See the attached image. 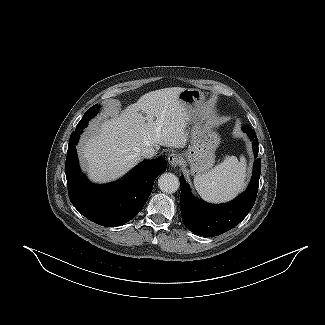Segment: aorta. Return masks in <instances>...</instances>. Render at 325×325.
Instances as JSON below:
<instances>
[{
  "label": "aorta",
  "instance_id": "aorta-1",
  "mask_svg": "<svg viewBox=\"0 0 325 325\" xmlns=\"http://www.w3.org/2000/svg\"><path fill=\"white\" fill-rule=\"evenodd\" d=\"M158 186L162 192L174 193L179 188V179L173 173H163L158 179Z\"/></svg>",
  "mask_w": 325,
  "mask_h": 325
}]
</instances>
